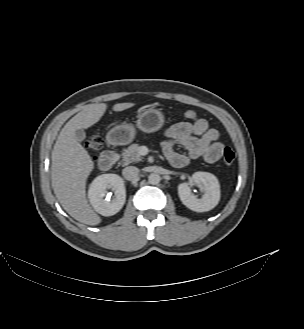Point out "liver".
<instances>
[{
    "label": "liver",
    "mask_w": 304,
    "mask_h": 329,
    "mask_svg": "<svg viewBox=\"0 0 304 329\" xmlns=\"http://www.w3.org/2000/svg\"><path fill=\"white\" fill-rule=\"evenodd\" d=\"M134 105L131 102L118 103L112 109L120 112ZM106 109L105 103L86 106L62 128L52 151L51 181L58 201L70 216L90 226L101 222V218L90 207L85 190L94 164L88 152L76 140L75 132L96 124Z\"/></svg>",
    "instance_id": "obj_1"
}]
</instances>
